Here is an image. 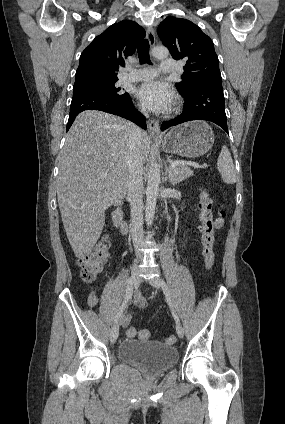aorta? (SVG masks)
Listing matches in <instances>:
<instances>
[{"instance_id": "obj_1", "label": "aorta", "mask_w": 285, "mask_h": 424, "mask_svg": "<svg viewBox=\"0 0 285 424\" xmlns=\"http://www.w3.org/2000/svg\"><path fill=\"white\" fill-rule=\"evenodd\" d=\"M152 55L157 59H165L168 57L169 51L164 46H157L153 48ZM160 182V166L154 162L150 165L149 168L146 188L145 219L149 227L152 225L154 219Z\"/></svg>"}]
</instances>
